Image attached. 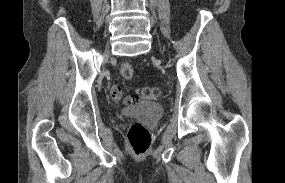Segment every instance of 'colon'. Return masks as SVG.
Masks as SVG:
<instances>
[{
  "label": "colon",
  "mask_w": 285,
  "mask_h": 183,
  "mask_svg": "<svg viewBox=\"0 0 285 183\" xmlns=\"http://www.w3.org/2000/svg\"><path fill=\"white\" fill-rule=\"evenodd\" d=\"M121 76L126 80L134 77V67L129 63H124L120 68ZM159 87H146L139 89L135 96L125 100L126 104H132L138 99L156 100L161 96ZM113 97V95H111ZM128 142L135 155L144 154L151 144V134L149 130L138 122H132L128 131Z\"/></svg>",
  "instance_id": "colon-1"
}]
</instances>
